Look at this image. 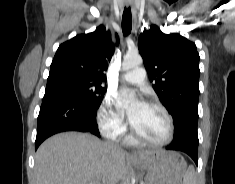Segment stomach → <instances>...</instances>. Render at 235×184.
Segmentation results:
<instances>
[{"mask_svg":"<svg viewBox=\"0 0 235 184\" xmlns=\"http://www.w3.org/2000/svg\"><path fill=\"white\" fill-rule=\"evenodd\" d=\"M140 172H146L145 184H182L187 164L178 152H155L147 160L133 156L129 160Z\"/></svg>","mask_w":235,"mask_h":184,"instance_id":"1","label":"stomach"}]
</instances>
